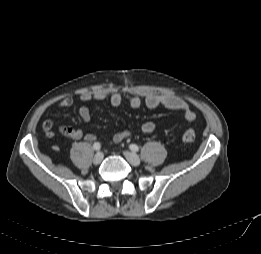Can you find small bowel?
<instances>
[{
  "label": "small bowel",
  "instance_id": "1",
  "mask_svg": "<svg viewBox=\"0 0 261 254\" xmlns=\"http://www.w3.org/2000/svg\"><path fill=\"white\" fill-rule=\"evenodd\" d=\"M127 99L130 107L138 108L142 104L147 106L148 108H158L164 107L170 110H177L181 111L184 114L185 119L188 122H192L195 120L196 115L190 105L183 99L167 95V94H157V93H149L145 96H124L120 93H107L105 91H99L96 93H82L80 95V100L83 102H90V101H103L108 100L109 103L113 107H118L122 104V102ZM74 104V100L71 97H65L57 102L56 106L58 108H70ZM79 116L81 120L85 123H88L91 120V112L88 107L81 106L78 110ZM53 122L51 120H46L43 123V130L48 136H53ZM156 125L154 122L148 121L142 124L141 130L145 133H152L155 131ZM58 131L61 135L74 139L80 140L84 139L86 142H95L97 141V137L94 134H84V132L79 128H72L69 126H60ZM132 134L130 129L121 130L113 135L111 138V143L116 144Z\"/></svg>",
  "mask_w": 261,
  "mask_h": 254
}]
</instances>
